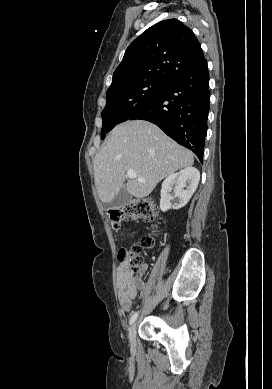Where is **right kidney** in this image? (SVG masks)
<instances>
[{
  "label": "right kidney",
  "instance_id": "right-kidney-1",
  "mask_svg": "<svg viewBox=\"0 0 272 389\" xmlns=\"http://www.w3.org/2000/svg\"><path fill=\"white\" fill-rule=\"evenodd\" d=\"M200 180V172L195 167H187L177 173L169 175L162 184L160 209L162 212L167 210L180 209L184 207L197 189ZM174 186L175 195H170ZM186 188V189H184ZM178 198V203L171 204V200Z\"/></svg>",
  "mask_w": 272,
  "mask_h": 389
}]
</instances>
